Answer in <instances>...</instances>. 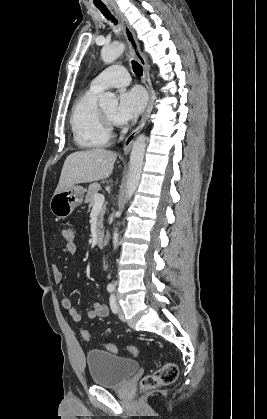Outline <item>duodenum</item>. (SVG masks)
Returning <instances> with one entry per match:
<instances>
[{
  "mask_svg": "<svg viewBox=\"0 0 267 419\" xmlns=\"http://www.w3.org/2000/svg\"><path fill=\"white\" fill-rule=\"evenodd\" d=\"M97 246L102 248L105 245V235L102 232H99L96 237Z\"/></svg>",
  "mask_w": 267,
  "mask_h": 419,
  "instance_id": "duodenum-1",
  "label": "duodenum"
}]
</instances>
